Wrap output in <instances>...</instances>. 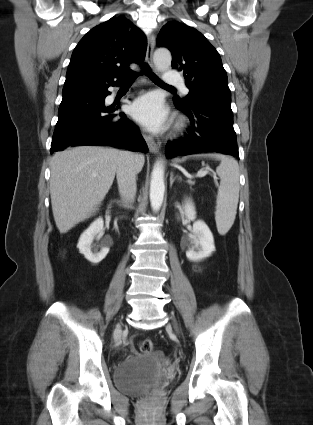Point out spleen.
<instances>
[{
  "mask_svg": "<svg viewBox=\"0 0 313 425\" xmlns=\"http://www.w3.org/2000/svg\"><path fill=\"white\" fill-rule=\"evenodd\" d=\"M210 157L221 161L216 172L220 177L218 186L217 206L215 212L216 226L219 234L225 235L232 227L239 200V165L230 156L210 154Z\"/></svg>",
  "mask_w": 313,
  "mask_h": 425,
  "instance_id": "1",
  "label": "spleen"
}]
</instances>
